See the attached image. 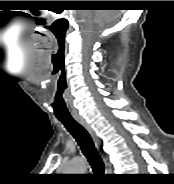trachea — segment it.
I'll list each match as a JSON object with an SVG mask.
<instances>
[{
  "mask_svg": "<svg viewBox=\"0 0 174 184\" xmlns=\"http://www.w3.org/2000/svg\"><path fill=\"white\" fill-rule=\"evenodd\" d=\"M59 121L62 122L65 128L76 139L94 173L103 174L105 169L104 163L99 156L88 131L73 118H59Z\"/></svg>",
  "mask_w": 174,
  "mask_h": 184,
  "instance_id": "obj_1",
  "label": "trachea"
}]
</instances>
